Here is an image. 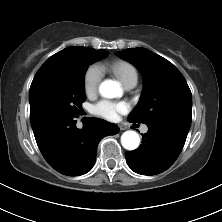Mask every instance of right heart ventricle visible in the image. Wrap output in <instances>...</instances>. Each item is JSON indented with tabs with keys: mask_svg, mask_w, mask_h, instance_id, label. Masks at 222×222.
<instances>
[{
	"mask_svg": "<svg viewBox=\"0 0 222 222\" xmlns=\"http://www.w3.org/2000/svg\"><path fill=\"white\" fill-rule=\"evenodd\" d=\"M102 69L114 74L124 86L136 85L138 82V71L136 67L125 60H116L103 64Z\"/></svg>",
	"mask_w": 222,
	"mask_h": 222,
	"instance_id": "e07e8e85",
	"label": "right heart ventricle"
}]
</instances>
